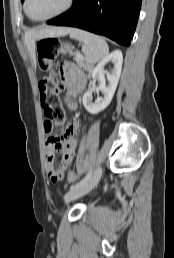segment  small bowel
I'll use <instances>...</instances> for the list:
<instances>
[{"label":"small bowel","mask_w":174,"mask_h":258,"mask_svg":"<svg viewBox=\"0 0 174 258\" xmlns=\"http://www.w3.org/2000/svg\"><path fill=\"white\" fill-rule=\"evenodd\" d=\"M60 73L66 83H68L74 91H79L85 84V79L80 73L79 69L74 63L71 62H63L60 66ZM73 107V105H71ZM85 121V120H84ZM88 121V120H87ZM87 127V122H82L78 119L74 121V123L69 126L66 133L64 134L67 139L62 140L58 136L51 135V128L48 123H44V132L47 136L46 139V152L45 157L47 161V168L49 175L51 177V183H62V177L66 175L68 176L69 171L67 167L72 162L75 150L77 146V141L71 137L70 135L79 129L80 127ZM59 150L64 151V166H54V158L55 153ZM76 177V175L74 176Z\"/></svg>","instance_id":"c3829d8e"}]
</instances>
